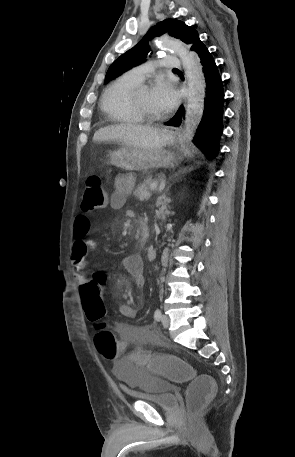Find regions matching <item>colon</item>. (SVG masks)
Instances as JSON below:
<instances>
[{
    "label": "colon",
    "instance_id": "colon-1",
    "mask_svg": "<svg viewBox=\"0 0 295 457\" xmlns=\"http://www.w3.org/2000/svg\"><path fill=\"white\" fill-rule=\"evenodd\" d=\"M106 204V192L101 178L91 175L86 179L84 196L81 203L83 212H92L103 208ZM106 275L96 272L93 278L87 280L82 287L83 306L87 318L96 323L94 341L97 354L104 355L105 360H125V342L115 341L112 332L104 321L105 308L101 301L102 287H108ZM148 347L142 351L129 353L130 360H143L146 372H162L163 378H169L170 383H185L186 378H194V369L189 363H183L174 352H163L162 357H146ZM128 355V356H129ZM214 374H197L186 391L187 410L190 415L196 414L212 396L215 390Z\"/></svg>",
    "mask_w": 295,
    "mask_h": 457
}]
</instances>
